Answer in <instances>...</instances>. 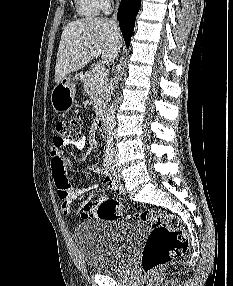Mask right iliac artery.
I'll return each mask as SVG.
<instances>
[{"instance_id": "obj_1", "label": "right iliac artery", "mask_w": 233, "mask_h": 286, "mask_svg": "<svg viewBox=\"0 0 233 286\" xmlns=\"http://www.w3.org/2000/svg\"><path fill=\"white\" fill-rule=\"evenodd\" d=\"M112 164V149L111 147L106 148L105 158H104V166L107 170H110Z\"/></svg>"}]
</instances>
